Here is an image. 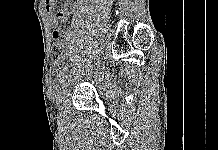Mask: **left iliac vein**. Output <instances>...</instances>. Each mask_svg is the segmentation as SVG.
Segmentation results:
<instances>
[{
    "label": "left iliac vein",
    "instance_id": "left-iliac-vein-1",
    "mask_svg": "<svg viewBox=\"0 0 218 150\" xmlns=\"http://www.w3.org/2000/svg\"><path fill=\"white\" fill-rule=\"evenodd\" d=\"M73 78L71 76H65L64 77V83H63V86H62V89L66 90L67 89V86L70 84L69 81H71ZM64 93L61 91L60 94H58L56 96V105L59 107L60 104L62 103L63 99H64Z\"/></svg>",
    "mask_w": 218,
    "mask_h": 150
}]
</instances>
